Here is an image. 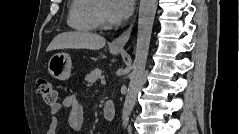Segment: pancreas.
<instances>
[{
    "label": "pancreas",
    "instance_id": "obj_1",
    "mask_svg": "<svg viewBox=\"0 0 239 134\" xmlns=\"http://www.w3.org/2000/svg\"><path fill=\"white\" fill-rule=\"evenodd\" d=\"M101 74H102L101 69L96 68L95 70L91 71L89 74L85 76V81L92 84L101 77Z\"/></svg>",
    "mask_w": 239,
    "mask_h": 134
}]
</instances>
